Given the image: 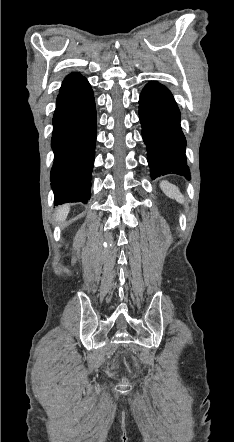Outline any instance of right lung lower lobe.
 <instances>
[{
	"label": "right lung lower lobe",
	"mask_w": 234,
	"mask_h": 442,
	"mask_svg": "<svg viewBox=\"0 0 234 442\" xmlns=\"http://www.w3.org/2000/svg\"><path fill=\"white\" fill-rule=\"evenodd\" d=\"M96 143V108L91 86L80 74L68 75L53 117L51 185L54 204L87 202Z\"/></svg>",
	"instance_id": "obj_1"
}]
</instances>
